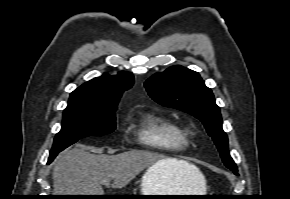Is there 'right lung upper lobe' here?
<instances>
[{"mask_svg": "<svg viewBox=\"0 0 290 199\" xmlns=\"http://www.w3.org/2000/svg\"><path fill=\"white\" fill-rule=\"evenodd\" d=\"M133 83V76L128 72H119L114 77L105 73L75 89L70 94L66 109L101 110L116 108L122 93L131 88Z\"/></svg>", "mask_w": 290, "mask_h": 199, "instance_id": "1", "label": "right lung upper lobe"}]
</instances>
